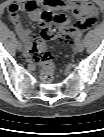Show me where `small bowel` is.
<instances>
[{
  "instance_id": "obj_1",
  "label": "small bowel",
  "mask_w": 104,
  "mask_h": 137,
  "mask_svg": "<svg viewBox=\"0 0 104 137\" xmlns=\"http://www.w3.org/2000/svg\"><path fill=\"white\" fill-rule=\"evenodd\" d=\"M20 11H26L33 21L40 22L41 14L47 13L56 25L65 28L74 37H78L81 30L92 27L99 15L98 9L86 0H29L22 4H11L7 12L8 21L21 34L31 56L33 44L30 40V31L23 27L18 15ZM64 11L71 12L75 20Z\"/></svg>"
}]
</instances>
